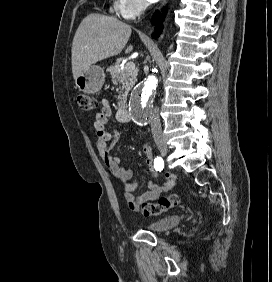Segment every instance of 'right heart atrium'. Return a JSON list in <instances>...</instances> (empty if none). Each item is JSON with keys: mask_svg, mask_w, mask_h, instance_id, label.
<instances>
[{"mask_svg": "<svg viewBox=\"0 0 272 282\" xmlns=\"http://www.w3.org/2000/svg\"><path fill=\"white\" fill-rule=\"evenodd\" d=\"M147 8L146 0H114L112 11L122 20H133Z\"/></svg>", "mask_w": 272, "mask_h": 282, "instance_id": "right-heart-atrium-1", "label": "right heart atrium"}]
</instances>
